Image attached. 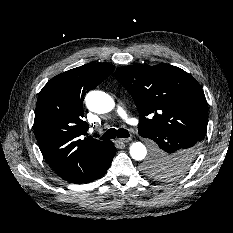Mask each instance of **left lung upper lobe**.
Returning a JSON list of instances; mask_svg holds the SVG:
<instances>
[{"instance_id": "left-lung-upper-lobe-1", "label": "left lung upper lobe", "mask_w": 233, "mask_h": 233, "mask_svg": "<svg viewBox=\"0 0 233 233\" xmlns=\"http://www.w3.org/2000/svg\"><path fill=\"white\" fill-rule=\"evenodd\" d=\"M114 76L136 104L141 116L139 134L155 130L183 131L195 135L201 146L207 132L208 106L201 86L190 74L160 63L122 67ZM169 170L175 167L153 155L144 166V171L155 178Z\"/></svg>"}]
</instances>
